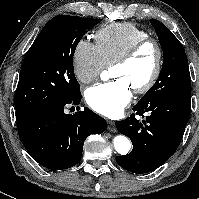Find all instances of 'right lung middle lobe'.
<instances>
[{
    "mask_svg": "<svg viewBox=\"0 0 199 199\" xmlns=\"http://www.w3.org/2000/svg\"><path fill=\"white\" fill-rule=\"evenodd\" d=\"M100 21L59 15L44 26L22 62L15 93L16 121L81 95L73 55L83 35Z\"/></svg>",
    "mask_w": 199,
    "mask_h": 199,
    "instance_id": "dd1d6c3e",
    "label": "right lung middle lobe"
}]
</instances>
